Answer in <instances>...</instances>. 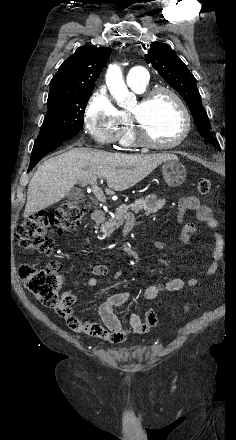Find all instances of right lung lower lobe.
Listing matches in <instances>:
<instances>
[{"instance_id":"right-lung-lower-lobe-1","label":"right lung lower lobe","mask_w":236,"mask_h":440,"mask_svg":"<svg viewBox=\"0 0 236 440\" xmlns=\"http://www.w3.org/2000/svg\"><path fill=\"white\" fill-rule=\"evenodd\" d=\"M73 136H63L57 138L36 139L31 153L30 166L28 172L49 152L55 150L64 141Z\"/></svg>"}]
</instances>
